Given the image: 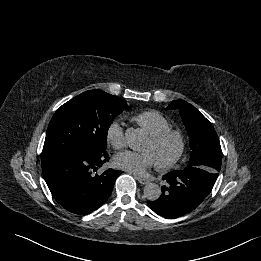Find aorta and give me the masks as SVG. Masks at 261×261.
Segmentation results:
<instances>
[{"mask_svg":"<svg viewBox=\"0 0 261 261\" xmlns=\"http://www.w3.org/2000/svg\"><path fill=\"white\" fill-rule=\"evenodd\" d=\"M126 143L132 150H141L146 143V136L139 128H129L125 133ZM144 195L150 201L157 200L161 195V188L155 183H148L144 187Z\"/></svg>","mask_w":261,"mask_h":261,"instance_id":"1","label":"aorta"}]
</instances>
